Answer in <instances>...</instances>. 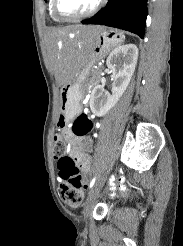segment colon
I'll list each match as a JSON object with an SVG mask.
<instances>
[{"instance_id":"1","label":"colon","mask_w":183,"mask_h":246,"mask_svg":"<svg viewBox=\"0 0 183 246\" xmlns=\"http://www.w3.org/2000/svg\"><path fill=\"white\" fill-rule=\"evenodd\" d=\"M72 132L77 136L90 137L93 123L87 114H79L72 123ZM82 152H91V147H82ZM54 155L57 159V169L61 179L60 193L63 201L71 206L78 207L82 203L83 190L87 188L88 181L80 173L74 160L67 153V148L60 135L55 137Z\"/></svg>"}]
</instances>
